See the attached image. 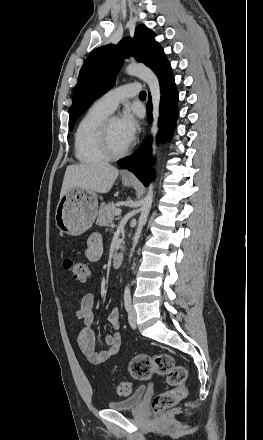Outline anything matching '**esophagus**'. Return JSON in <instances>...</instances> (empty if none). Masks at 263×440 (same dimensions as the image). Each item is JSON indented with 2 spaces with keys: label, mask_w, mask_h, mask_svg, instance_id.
<instances>
[{
  "label": "esophagus",
  "mask_w": 263,
  "mask_h": 440,
  "mask_svg": "<svg viewBox=\"0 0 263 440\" xmlns=\"http://www.w3.org/2000/svg\"><path fill=\"white\" fill-rule=\"evenodd\" d=\"M123 178L133 179V175L129 171H124L122 173Z\"/></svg>",
  "instance_id": "obj_1"
}]
</instances>
